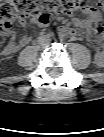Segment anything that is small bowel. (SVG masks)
I'll list each match as a JSON object with an SVG mask.
<instances>
[{
	"label": "small bowel",
	"mask_w": 104,
	"mask_h": 137,
	"mask_svg": "<svg viewBox=\"0 0 104 137\" xmlns=\"http://www.w3.org/2000/svg\"><path fill=\"white\" fill-rule=\"evenodd\" d=\"M38 21V20H37ZM39 22V21H38ZM101 23V17L97 10L86 8L83 10L82 15L72 20L73 28H69L66 32L70 35H78V31H85L88 42L93 45L94 60L97 65L101 66L104 63V54L99 46L98 40L93 33V28L98 27ZM21 26L26 28L27 23L21 22ZM10 38V41L3 47L1 53L4 56H9L16 53L21 47L27 45L31 41V36L24 35L19 43L14 41L15 34L7 32L3 34Z\"/></svg>",
	"instance_id": "obj_1"
}]
</instances>
